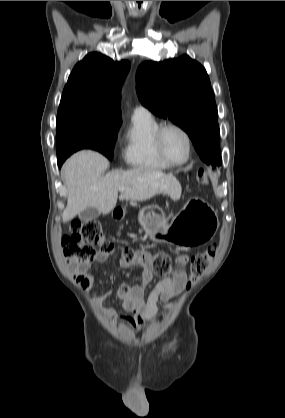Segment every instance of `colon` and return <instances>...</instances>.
<instances>
[{
  "label": "colon",
  "mask_w": 285,
  "mask_h": 418,
  "mask_svg": "<svg viewBox=\"0 0 285 418\" xmlns=\"http://www.w3.org/2000/svg\"><path fill=\"white\" fill-rule=\"evenodd\" d=\"M217 170L201 168L199 170V181L202 184L209 182L211 177L217 175ZM64 254L68 259L76 260L80 264L89 265L95 260L96 253L99 250H112L110 243L106 241L105 234L96 222L82 223L77 219L72 220L70 232L62 237ZM217 245L211 244L202 252L196 254L190 265V283L201 275L215 257ZM127 260L133 259L135 255L131 252L125 253ZM154 270L160 275H168L174 271L170 259L165 255H158L153 265ZM75 281L82 288H88L91 285V278L87 273H75Z\"/></svg>",
  "instance_id": "obj_1"
}]
</instances>
